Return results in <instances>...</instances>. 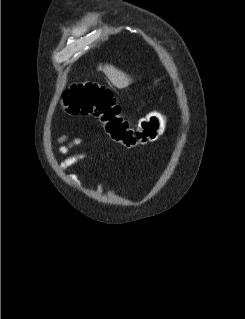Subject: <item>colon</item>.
I'll use <instances>...</instances> for the list:
<instances>
[{"label":"colon","mask_w":245,"mask_h":319,"mask_svg":"<svg viewBox=\"0 0 245 319\" xmlns=\"http://www.w3.org/2000/svg\"><path fill=\"white\" fill-rule=\"evenodd\" d=\"M62 103L70 115L98 118L110 139L127 148L155 141L166 124L163 114L150 112L132 127L122 116V108L112 92L93 83L70 86L63 94Z\"/></svg>","instance_id":"colon-1"}]
</instances>
